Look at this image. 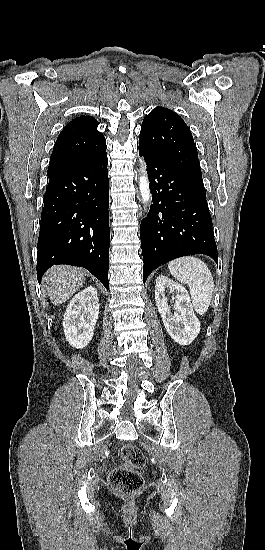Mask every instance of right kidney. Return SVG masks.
I'll return each mask as SVG.
<instances>
[{"label":"right kidney","instance_id":"obj_1","mask_svg":"<svg viewBox=\"0 0 265 550\" xmlns=\"http://www.w3.org/2000/svg\"><path fill=\"white\" fill-rule=\"evenodd\" d=\"M98 316L99 300L95 287H87L72 298L63 321L64 334L71 346L82 349L89 344Z\"/></svg>","mask_w":265,"mask_h":550}]
</instances>
